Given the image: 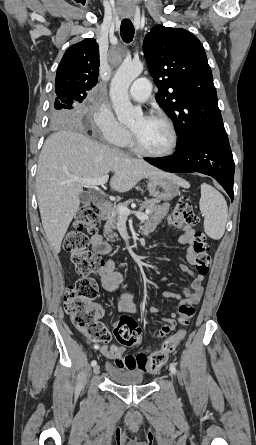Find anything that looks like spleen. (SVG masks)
<instances>
[{
  "instance_id": "spleen-1",
  "label": "spleen",
  "mask_w": 256,
  "mask_h": 445,
  "mask_svg": "<svg viewBox=\"0 0 256 445\" xmlns=\"http://www.w3.org/2000/svg\"><path fill=\"white\" fill-rule=\"evenodd\" d=\"M200 211L204 216V231L212 239L222 238L228 217L227 203L220 192L209 184L201 185Z\"/></svg>"
}]
</instances>
